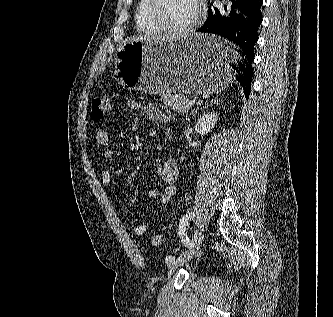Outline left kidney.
I'll return each mask as SVG.
<instances>
[{
    "label": "left kidney",
    "mask_w": 333,
    "mask_h": 317,
    "mask_svg": "<svg viewBox=\"0 0 333 317\" xmlns=\"http://www.w3.org/2000/svg\"><path fill=\"white\" fill-rule=\"evenodd\" d=\"M218 120V114L215 112L206 113L200 117L195 125V131L205 135L211 132Z\"/></svg>",
    "instance_id": "5707ae66"
}]
</instances>
